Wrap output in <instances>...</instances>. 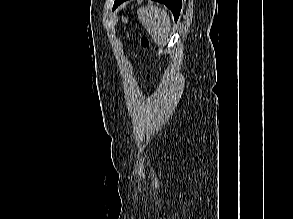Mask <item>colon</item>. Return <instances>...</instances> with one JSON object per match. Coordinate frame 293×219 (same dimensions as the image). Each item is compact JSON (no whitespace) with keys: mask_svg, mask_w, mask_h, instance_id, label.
Masks as SVG:
<instances>
[{"mask_svg":"<svg viewBox=\"0 0 293 219\" xmlns=\"http://www.w3.org/2000/svg\"><path fill=\"white\" fill-rule=\"evenodd\" d=\"M140 44L145 47V48H148L150 47V40L148 37L146 36H141L140 37Z\"/></svg>","mask_w":293,"mask_h":219,"instance_id":"obj_1","label":"colon"}]
</instances>
